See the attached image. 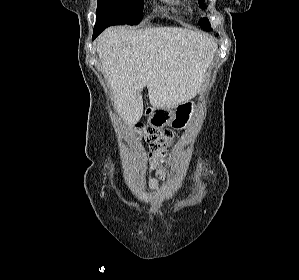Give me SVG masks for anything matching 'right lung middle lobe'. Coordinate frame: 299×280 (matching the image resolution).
<instances>
[{"instance_id": "1", "label": "right lung middle lobe", "mask_w": 299, "mask_h": 280, "mask_svg": "<svg viewBox=\"0 0 299 280\" xmlns=\"http://www.w3.org/2000/svg\"><path fill=\"white\" fill-rule=\"evenodd\" d=\"M144 0H98L97 13L114 17L119 25H137L142 21Z\"/></svg>"}]
</instances>
